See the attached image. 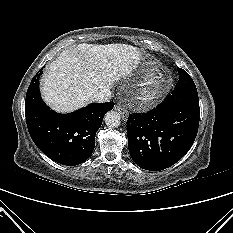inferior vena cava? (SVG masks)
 <instances>
[{
	"instance_id": "602c4592",
	"label": "inferior vena cava",
	"mask_w": 233,
	"mask_h": 233,
	"mask_svg": "<svg viewBox=\"0 0 233 233\" xmlns=\"http://www.w3.org/2000/svg\"><path fill=\"white\" fill-rule=\"evenodd\" d=\"M111 98V91L109 89H103L92 96V101L103 103Z\"/></svg>"
}]
</instances>
